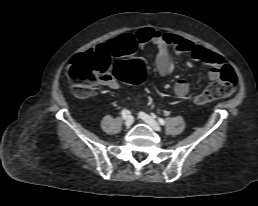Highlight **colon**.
Instances as JSON below:
<instances>
[{
	"label": "colon",
	"mask_w": 258,
	"mask_h": 206,
	"mask_svg": "<svg viewBox=\"0 0 258 206\" xmlns=\"http://www.w3.org/2000/svg\"><path fill=\"white\" fill-rule=\"evenodd\" d=\"M66 73L72 92L80 98L87 97L96 83L111 76L131 84L141 83L145 76L144 66L140 61H118L111 67L110 56L104 51L93 49L74 56L66 68ZM237 83L235 71L225 65L221 69L219 80L195 96L193 102L201 105L227 97L235 91Z\"/></svg>",
	"instance_id": "5ec220e1"
}]
</instances>
